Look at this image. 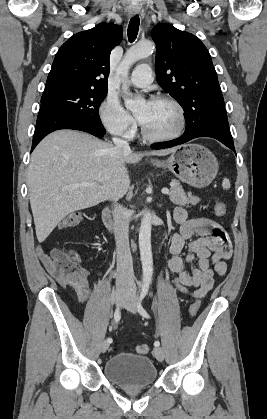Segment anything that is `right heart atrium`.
Listing matches in <instances>:
<instances>
[{
  "label": "right heart atrium",
  "mask_w": 267,
  "mask_h": 419,
  "mask_svg": "<svg viewBox=\"0 0 267 419\" xmlns=\"http://www.w3.org/2000/svg\"><path fill=\"white\" fill-rule=\"evenodd\" d=\"M103 126L113 135L130 137L134 133L135 121L114 97H106L99 109Z\"/></svg>",
  "instance_id": "1"
}]
</instances>
